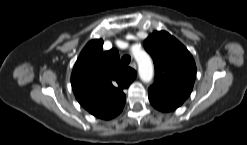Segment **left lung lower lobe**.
Returning a JSON list of instances; mask_svg holds the SVG:
<instances>
[{
    "label": "left lung lower lobe",
    "mask_w": 247,
    "mask_h": 145,
    "mask_svg": "<svg viewBox=\"0 0 247 145\" xmlns=\"http://www.w3.org/2000/svg\"><path fill=\"white\" fill-rule=\"evenodd\" d=\"M148 97L152 106L162 112L174 111L185 101L183 98L153 87L148 89Z\"/></svg>",
    "instance_id": "1"
}]
</instances>
